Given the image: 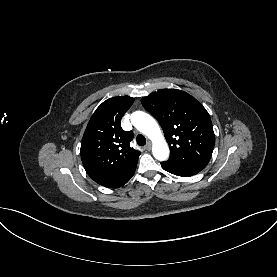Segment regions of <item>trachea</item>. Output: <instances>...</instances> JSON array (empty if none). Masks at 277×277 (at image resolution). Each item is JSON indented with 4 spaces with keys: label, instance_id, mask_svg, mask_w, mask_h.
<instances>
[{
    "label": "trachea",
    "instance_id": "trachea-1",
    "mask_svg": "<svg viewBox=\"0 0 277 277\" xmlns=\"http://www.w3.org/2000/svg\"><path fill=\"white\" fill-rule=\"evenodd\" d=\"M136 142L138 145L143 146L146 144V138L143 135H138L136 137Z\"/></svg>",
    "mask_w": 277,
    "mask_h": 277
}]
</instances>
